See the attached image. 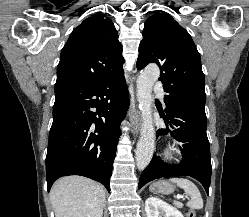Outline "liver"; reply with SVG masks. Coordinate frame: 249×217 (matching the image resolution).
<instances>
[{
	"label": "liver",
	"mask_w": 249,
	"mask_h": 217,
	"mask_svg": "<svg viewBox=\"0 0 249 217\" xmlns=\"http://www.w3.org/2000/svg\"><path fill=\"white\" fill-rule=\"evenodd\" d=\"M55 217H102L105 191L81 176L59 179L50 191Z\"/></svg>",
	"instance_id": "6515ba94"
}]
</instances>
